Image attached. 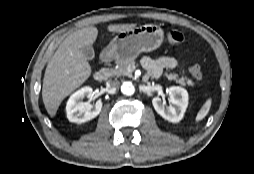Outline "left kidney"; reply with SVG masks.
<instances>
[{
	"label": "left kidney",
	"instance_id": "5707ae66",
	"mask_svg": "<svg viewBox=\"0 0 254 174\" xmlns=\"http://www.w3.org/2000/svg\"><path fill=\"white\" fill-rule=\"evenodd\" d=\"M168 95L171 103L169 107H165L159 97L153 98L152 104L155 111L165 120L177 123L182 120L188 106V93L182 87L172 86L168 89Z\"/></svg>",
	"mask_w": 254,
	"mask_h": 174
}]
</instances>
